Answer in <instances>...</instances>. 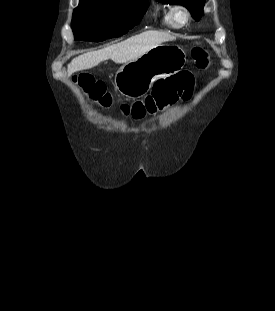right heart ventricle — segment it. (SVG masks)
<instances>
[{
	"label": "right heart ventricle",
	"mask_w": 275,
	"mask_h": 311,
	"mask_svg": "<svg viewBox=\"0 0 275 311\" xmlns=\"http://www.w3.org/2000/svg\"><path fill=\"white\" fill-rule=\"evenodd\" d=\"M161 25L167 29H176L171 21L170 10H165L160 16Z\"/></svg>",
	"instance_id": "right-heart-ventricle-1"
}]
</instances>
